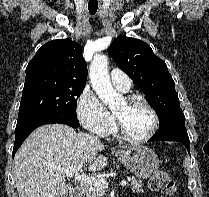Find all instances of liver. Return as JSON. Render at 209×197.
<instances>
[{
  "instance_id": "obj_1",
  "label": "liver",
  "mask_w": 209,
  "mask_h": 197,
  "mask_svg": "<svg viewBox=\"0 0 209 197\" xmlns=\"http://www.w3.org/2000/svg\"><path fill=\"white\" fill-rule=\"evenodd\" d=\"M105 146L89 134L76 133L68 125L48 124L34 130L15 155L14 179L19 197H67V169L89 164L97 172L107 165Z\"/></svg>"
}]
</instances>
